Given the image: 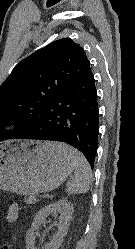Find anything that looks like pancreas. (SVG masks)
Listing matches in <instances>:
<instances>
[{"mask_svg": "<svg viewBox=\"0 0 135 249\" xmlns=\"http://www.w3.org/2000/svg\"><path fill=\"white\" fill-rule=\"evenodd\" d=\"M38 200L36 199L35 196H29L28 198L24 199V202L26 204H35Z\"/></svg>", "mask_w": 135, "mask_h": 249, "instance_id": "obj_1", "label": "pancreas"}]
</instances>
